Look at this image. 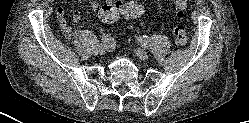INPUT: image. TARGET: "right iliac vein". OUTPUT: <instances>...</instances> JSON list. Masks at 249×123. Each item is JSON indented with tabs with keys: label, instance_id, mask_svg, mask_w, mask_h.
Here are the masks:
<instances>
[{
	"label": "right iliac vein",
	"instance_id": "63e3f726",
	"mask_svg": "<svg viewBox=\"0 0 249 123\" xmlns=\"http://www.w3.org/2000/svg\"><path fill=\"white\" fill-rule=\"evenodd\" d=\"M109 46L107 44H101L98 48V53L100 55H104L106 53V51H108Z\"/></svg>",
	"mask_w": 249,
	"mask_h": 123
}]
</instances>
